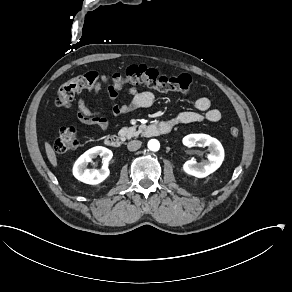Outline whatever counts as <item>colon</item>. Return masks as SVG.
<instances>
[{"instance_id":"obj_1","label":"colon","mask_w":292,"mask_h":292,"mask_svg":"<svg viewBox=\"0 0 292 292\" xmlns=\"http://www.w3.org/2000/svg\"><path fill=\"white\" fill-rule=\"evenodd\" d=\"M128 83L143 84L160 91L188 92L191 88L192 80L187 74L175 77L162 76L156 70L143 65L130 66L124 75L114 74L105 76L97 72H88L61 85L57 94L56 105L58 107L69 106L75 94L82 90L103 88L117 91ZM230 133L232 136H237L239 129L233 126L230 128ZM78 144L76 130L73 127L65 126L58 133L55 141V150L61 153L71 151Z\"/></svg>"}]
</instances>
